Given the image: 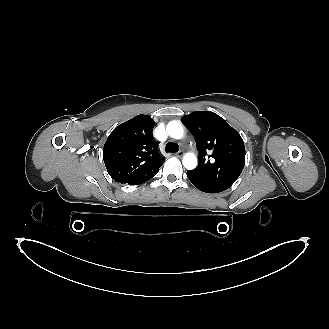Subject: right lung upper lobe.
Returning <instances> with one entry per match:
<instances>
[{"mask_svg": "<svg viewBox=\"0 0 329 329\" xmlns=\"http://www.w3.org/2000/svg\"><path fill=\"white\" fill-rule=\"evenodd\" d=\"M155 122L138 115L116 127L109 135L103 159L109 175L121 184L138 185L150 179L164 162L152 131Z\"/></svg>", "mask_w": 329, "mask_h": 329, "instance_id": "cb5924a9", "label": "right lung upper lobe"}]
</instances>
